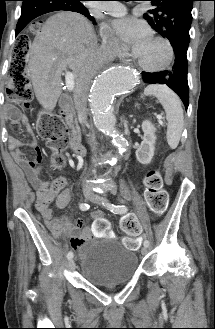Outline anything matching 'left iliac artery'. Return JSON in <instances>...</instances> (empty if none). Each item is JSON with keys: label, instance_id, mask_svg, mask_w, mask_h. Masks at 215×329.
Returning <instances> with one entry per match:
<instances>
[{"label": "left iliac artery", "instance_id": "left-iliac-artery-1", "mask_svg": "<svg viewBox=\"0 0 215 329\" xmlns=\"http://www.w3.org/2000/svg\"><path fill=\"white\" fill-rule=\"evenodd\" d=\"M103 205L110 210L111 212L115 213V214H124L127 212V207H125L124 205H114L111 204L109 202H107L106 199H103ZM150 244V242L148 240L144 241V246L148 247Z\"/></svg>", "mask_w": 215, "mask_h": 329}]
</instances>
